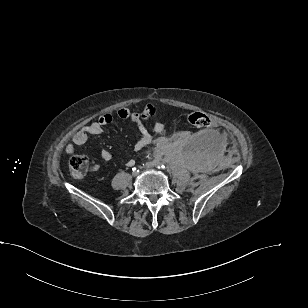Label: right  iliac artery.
I'll return each instance as SVG.
<instances>
[{
  "mask_svg": "<svg viewBox=\"0 0 308 308\" xmlns=\"http://www.w3.org/2000/svg\"><path fill=\"white\" fill-rule=\"evenodd\" d=\"M132 170L133 172H139V170H137L136 168H133Z\"/></svg>",
  "mask_w": 308,
  "mask_h": 308,
  "instance_id": "right-iliac-artery-1",
  "label": "right iliac artery"
}]
</instances>
